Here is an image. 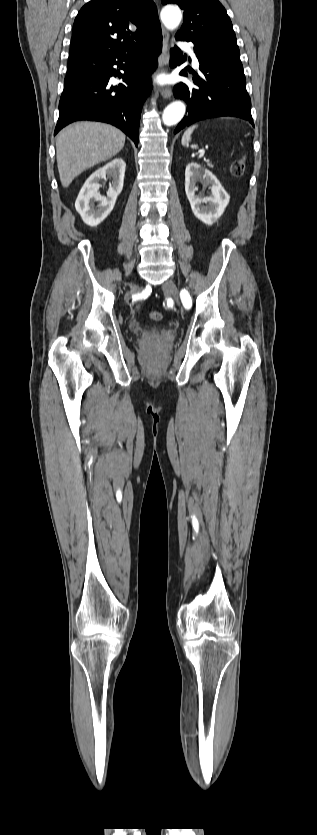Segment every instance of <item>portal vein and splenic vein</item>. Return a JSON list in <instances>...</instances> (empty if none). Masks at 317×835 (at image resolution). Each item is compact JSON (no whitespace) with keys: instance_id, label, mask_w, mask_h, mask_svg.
Masks as SVG:
<instances>
[{"instance_id":"obj_1","label":"portal vein and splenic vein","mask_w":317,"mask_h":835,"mask_svg":"<svg viewBox=\"0 0 317 835\" xmlns=\"http://www.w3.org/2000/svg\"><path fill=\"white\" fill-rule=\"evenodd\" d=\"M204 160H205L207 163H210V162H211V159H210V158H204Z\"/></svg>"}]
</instances>
